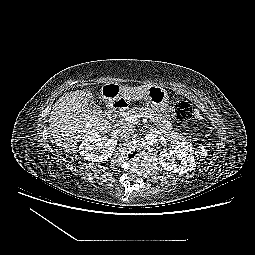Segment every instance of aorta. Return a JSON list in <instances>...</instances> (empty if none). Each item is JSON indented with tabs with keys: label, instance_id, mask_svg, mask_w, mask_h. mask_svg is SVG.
<instances>
[{
	"label": "aorta",
	"instance_id": "762f6f07",
	"mask_svg": "<svg viewBox=\"0 0 255 255\" xmlns=\"http://www.w3.org/2000/svg\"><path fill=\"white\" fill-rule=\"evenodd\" d=\"M145 140L149 145H153L157 142L158 139L156 134L149 132L148 134H146Z\"/></svg>",
	"mask_w": 255,
	"mask_h": 255
}]
</instances>
